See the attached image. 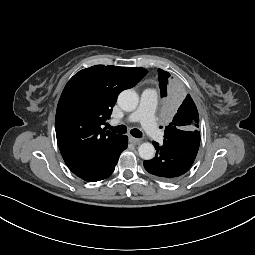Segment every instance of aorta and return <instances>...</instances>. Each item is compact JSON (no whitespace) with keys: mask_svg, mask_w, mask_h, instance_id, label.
I'll return each mask as SVG.
<instances>
[{"mask_svg":"<svg viewBox=\"0 0 255 255\" xmlns=\"http://www.w3.org/2000/svg\"><path fill=\"white\" fill-rule=\"evenodd\" d=\"M139 103L138 94L133 89H126L118 96V104L124 111H133ZM139 155L144 160H150L155 156V148L149 143H142L138 148Z\"/></svg>","mask_w":255,"mask_h":255,"instance_id":"aorta-1","label":"aorta"}]
</instances>
